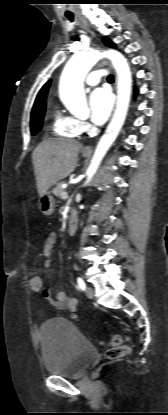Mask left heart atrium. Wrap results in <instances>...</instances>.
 Segmentation results:
<instances>
[{
  "mask_svg": "<svg viewBox=\"0 0 168 415\" xmlns=\"http://www.w3.org/2000/svg\"><path fill=\"white\" fill-rule=\"evenodd\" d=\"M89 104L91 121L96 125L104 124L108 119L113 106L111 93L105 88H97L91 93Z\"/></svg>",
  "mask_w": 168,
  "mask_h": 415,
  "instance_id": "1",
  "label": "left heart atrium"
}]
</instances>
